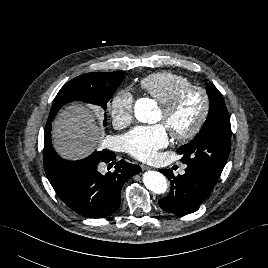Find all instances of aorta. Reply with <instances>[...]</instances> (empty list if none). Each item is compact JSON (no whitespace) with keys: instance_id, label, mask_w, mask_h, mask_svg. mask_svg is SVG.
<instances>
[{"instance_id":"aorta-1","label":"aorta","mask_w":268,"mask_h":268,"mask_svg":"<svg viewBox=\"0 0 268 268\" xmlns=\"http://www.w3.org/2000/svg\"><path fill=\"white\" fill-rule=\"evenodd\" d=\"M155 109V104L151 99H138L134 107L135 117L138 121L142 123H153L155 121ZM143 183L147 189L158 194L165 193L168 188L165 176L157 171L149 170L145 172L143 174Z\"/></svg>"}]
</instances>
